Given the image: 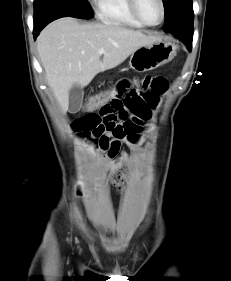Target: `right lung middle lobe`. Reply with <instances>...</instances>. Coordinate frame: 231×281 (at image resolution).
Returning <instances> with one entry per match:
<instances>
[{
	"instance_id": "obj_1",
	"label": "right lung middle lobe",
	"mask_w": 231,
	"mask_h": 281,
	"mask_svg": "<svg viewBox=\"0 0 231 281\" xmlns=\"http://www.w3.org/2000/svg\"><path fill=\"white\" fill-rule=\"evenodd\" d=\"M58 4L71 9L74 17L90 19L93 17V11L87 0H34V16H37L50 4Z\"/></svg>"
}]
</instances>
